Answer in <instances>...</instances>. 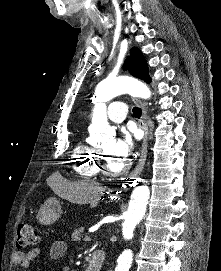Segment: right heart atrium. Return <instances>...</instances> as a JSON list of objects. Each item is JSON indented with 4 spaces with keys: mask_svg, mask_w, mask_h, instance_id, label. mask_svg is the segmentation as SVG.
I'll return each instance as SVG.
<instances>
[{
    "mask_svg": "<svg viewBox=\"0 0 221 271\" xmlns=\"http://www.w3.org/2000/svg\"><path fill=\"white\" fill-rule=\"evenodd\" d=\"M82 155H89V154H82ZM91 155H93V156L96 155L98 157L97 159H100V154H91Z\"/></svg>",
    "mask_w": 221,
    "mask_h": 271,
    "instance_id": "right-heart-atrium-1",
    "label": "right heart atrium"
}]
</instances>
